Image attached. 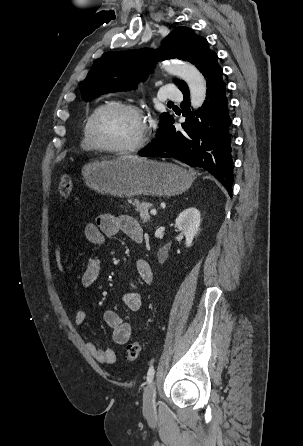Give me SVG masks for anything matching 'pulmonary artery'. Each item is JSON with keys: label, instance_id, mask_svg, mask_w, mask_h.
Wrapping results in <instances>:
<instances>
[{"label": "pulmonary artery", "instance_id": "e3ab8cb5", "mask_svg": "<svg viewBox=\"0 0 303 446\" xmlns=\"http://www.w3.org/2000/svg\"><path fill=\"white\" fill-rule=\"evenodd\" d=\"M160 99L179 101L182 99V94L174 85L167 84L160 90Z\"/></svg>", "mask_w": 303, "mask_h": 446}]
</instances>
